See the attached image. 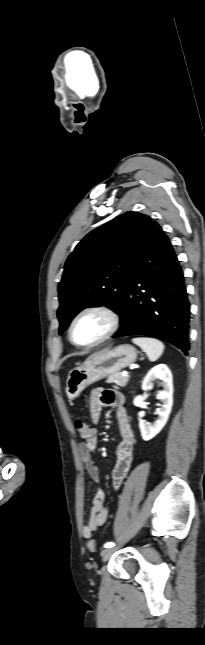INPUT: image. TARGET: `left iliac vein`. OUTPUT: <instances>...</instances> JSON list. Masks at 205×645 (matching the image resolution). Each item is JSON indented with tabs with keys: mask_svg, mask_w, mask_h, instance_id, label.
I'll list each match as a JSON object with an SVG mask.
<instances>
[{
	"mask_svg": "<svg viewBox=\"0 0 205 645\" xmlns=\"http://www.w3.org/2000/svg\"><path fill=\"white\" fill-rule=\"evenodd\" d=\"M114 552H115L114 548H107L103 550L101 553L102 561L103 562L107 561Z\"/></svg>",
	"mask_w": 205,
	"mask_h": 645,
	"instance_id": "left-iliac-vein-1",
	"label": "left iliac vein"
}]
</instances>
